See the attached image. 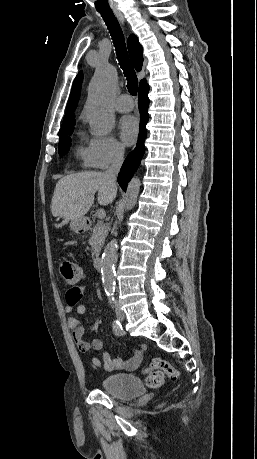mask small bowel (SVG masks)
<instances>
[{"label": "small bowel", "mask_w": 257, "mask_h": 459, "mask_svg": "<svg viewBox=\"0 0 257 459\" xmlns=\"http://www.w3.org/2000/svg\"><path fill=\"white\" fill-rule=\"evenodd\" d=\"M74 257L80 256L79 250L73 251ZM86 290V286H73L66 291L65 298H66V307L65 311L67 313L72 312L75 308L77 314L83 315L86 313V305L79 303L83 293ZM68 327L72 333L73 340L81 352H87L90 349L95 351L101 352V358L103 361V368L108 372H115L118 370H134L136 369L143 358V353L147 349L146 344H142L139 349L134 350L131 357L128 359H112L108 352L103 351V341L101 339L95 338L91 342L85 340L84 334L85 330L84 327L76 316H69L68 317ZM91 364L94 368H99L102 363L100 358L92 357Z\"/></svg>", "instance_id": "small-bowel-1"}]
</instances>
